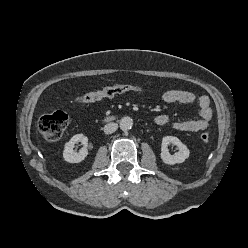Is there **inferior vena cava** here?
<instances>
[{"label":"inferior vena cava","instance_id":"1","mask_svg":"<svg viewBox=\"0 0 248 248\" xmlns=\"http://www.w3.org/2000/svg\"><path fill=\"white\" fill-rule=\"evenodd\" d=\"M118 129V124L117 123H108L104 126V133L105 134H111L115 132Z\"/></svg>","mask_w":248,"mask_h":248}]
</instances>
